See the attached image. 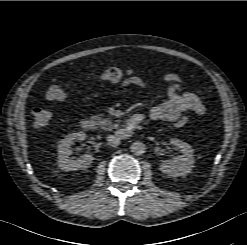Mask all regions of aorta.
I'll return each instance as SVG.
<instances>
[{
    "instance_id": "1",
    "label": "aorta",
    "mask_w": 247,
    "mask_h": 245,
    "mask_svg": "<svg viewBox=\"0 0 247 245\" xmlns=\"http://www.w3.org/2000/svg\"><path fill=\"white\" fill-rule=\"evenodd\" d=\"M130 148H131V152L137 156L144 154L146 151L145 144L140 141L133 142Z\"/></svg>"
}]
</instances>
